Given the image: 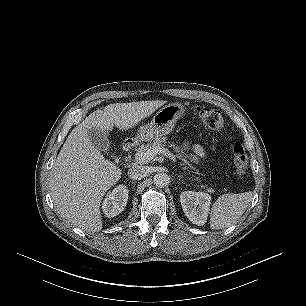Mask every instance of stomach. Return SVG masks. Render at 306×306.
I'll return each instance as SVG.
<instances>
[{
    "label": "stomach",
    "mask_w": 306,
    "mask_h": 306,
    "mask_svg": "<svg viewBox=\"0 0 306 306\" xmlns=\"http://www.w3.org/2000/svg\"><path fill=\"white\" fill-rule=\"evenodd\" d=\"M185 113V108L180 103L165 105L153 116L150 123L138 129L137 139L150 141L172 132L178 119Z\"/></svg>",
    "instance_id": "1"
}]
</instances>
